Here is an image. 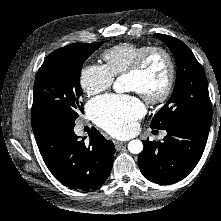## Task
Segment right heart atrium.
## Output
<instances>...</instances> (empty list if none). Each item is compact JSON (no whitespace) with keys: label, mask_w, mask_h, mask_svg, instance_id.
<instances>
[{"label":"right heart atrium","mask_w":221,"mask_h":221,"mask_svg":"<svg viewBox=\"0 0 221 221\" xmlns=\"http://www.w3.org/2000/svg\"><path fill=\"white\" fill-rule=\"evenodd\" d=\"M113 82V75L104 65L88 63L81 71L80 84L89 96H94L109 89Z\"/></svg>","instance_id":"right-heart-atrium-1"}]
</instances>
